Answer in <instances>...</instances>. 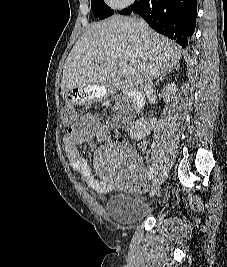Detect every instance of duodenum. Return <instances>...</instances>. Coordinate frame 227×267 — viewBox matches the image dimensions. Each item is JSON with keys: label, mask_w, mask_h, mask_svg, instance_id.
Masks as SVG:
<instances>
[{"label": "duodenum", "mask_w": 227, "mask_h": 267, "mask_svg": "<svg viewBox=\"0 0 227 267\" xmlns=\"http://www.w3.org/2000/svg\"><path fill=\"white\" fill-rule=\"evenodd\" d=\"M119 90L129 98L131 103L132 111L134 113H139L145 106V97L143 94L136 89L123 84L122 82H117Z\"/></svg>", "instance_id": "obj_1"}]
</instances>
